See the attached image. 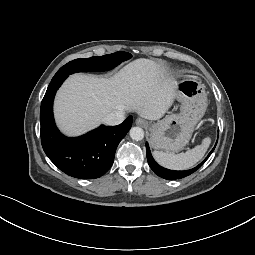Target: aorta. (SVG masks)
Wrapping results in <instances>:
<instances>
[{
  "label": "aorta",
  "instance_id": "1",
  "mask_svg": "<svg viewBox=\"0 0 255 255\" xmlns=\"http://www.w3.org/2000/svg\"><path fill=\"white\" fill-rule=\"evenodd\" d=\"M130 137L133 140L140 141L144 138V131L140 127H132L130 129Z\"/></svg>",
  "mask_w": 255,
  "mask_h": 255
}]
</instances>
